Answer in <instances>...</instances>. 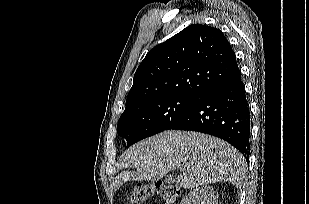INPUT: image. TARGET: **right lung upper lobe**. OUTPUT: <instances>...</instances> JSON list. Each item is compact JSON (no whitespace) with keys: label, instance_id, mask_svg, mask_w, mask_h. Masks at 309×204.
Returning a JSON list of instances; mask_svg holds the SVG:
<instances>
[{"label":"right lung upper lobe","instance_id":"cb5924a9","mask_svg":"<svg viewBox=\"0 0 309 204\" xmlns=\"http://www.w3.org/2000/svg\"><path fill=\"white\" fill-rule=\"evenodd\" d=\"M239 72L221 30L193 24L148 52L136 70L126 105L163 95L200 97Z\"/></svg>","mask_w":309,"mask_h":204}]
</instances>
